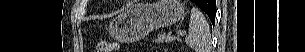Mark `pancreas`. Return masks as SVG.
Returning <instances> with one entry per match:
<instances>
[{"instance_id": "pancreas-1", "label": "pancreas", "mask_w": 305, "mask_h": 52, "mask_svg": "<svg viewBox=\"0 0 305 52\" xmlns=\"http://www.w3.org/2000/svg\"><path fill=\"white\" fill-rule=\"evenodd\" d=\"M176 40V38L175 37H172V36H169V35H165V34H161V35H159L155 40H154V42L155 43H164V42H166V43H170V42H173V41H175Z\"/></svg>"}]
</instances>
